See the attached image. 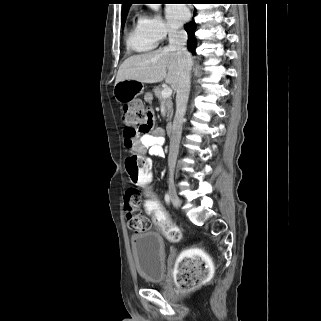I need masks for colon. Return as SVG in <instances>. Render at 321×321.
<instances>
[{"label":"colon","mask_w":321,"mask_h":321,"mask_svg":"<svg viewBox=\"0 0 321 321\" xmlns=\"http://www.w3.org/2000/svg\"><path fill=\"white\" fill-rule=\"evenodd\" d=\"M123 122L126 132L133 136H139L152 129L153 115L140 101L134 100L124 104ZM125 166L128 176L134 184L146 185L150 182L151 185H154L150 160L130 152L126 157ZM145 191L149 192L150 188L146 187ZM124 198L128 227L136 232L146 231L150 227V221L141 214L140 191L136 188H128ZM160 202L161 197L155 196L154 192L146 196L143 201L146 215L151 216V222H155L170 241L178 242L182 238L181 230L170 220ZM211 274V265L207 257L195 250L187 251L181 256L174 270L176 283L182 291H189L202 285L211 277Z\"/></svg>","instance_id":"1"}]
</instances>
